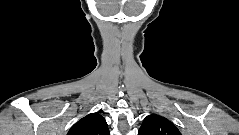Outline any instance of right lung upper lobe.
<instances>
[{
  "label": "right lung upper lobe",
  "instance_id": "obj_1",
  "mask_svg": "<svg viewBox=\"0 0 239 135\" xmlns=\"http://www.w3.org/2000/svg\"><path fill=\"white\" fill-rule=\"evenodd\" d=\"M67 135H110L106 120L98 113H91L80 119Z\"/></svg>",
  "mask_w": 239,
  "mask_h": 135
}]
</instances>
